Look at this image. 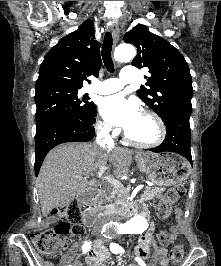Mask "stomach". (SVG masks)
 I'll return each instance as SVG.
<instances>
[{
  "label": "stomach",
  "instance_id": "1",
  "mask_svg": "<svg viewBox=\"0 0 221 266\" xmlns=\"http://www.w3.org/2000/svg\"><path fill=\"white\" fill-rule=\"evenodd\" d=\"M140 171L149 175L157 185L181 184L190 175V165L176 154L144 153L136 158Z\"/></svg>",
  "mask_w": 221,
  "mask_h": 266
}]
</instances>
